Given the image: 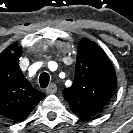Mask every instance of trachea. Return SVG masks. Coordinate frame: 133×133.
I'll list each match as a JSON object with an SVG mask.
<instances>
[{
	"instance_id": "1",
	"label": "trachea",
	"mask_w": 133,
	"mask_h": 133,
	"mask_svg": "<svg viewBox=\"0 0 133 133\" xmlns=\"http://www.w3.org/2000/svg\"><path fill=\"white\" fill-rule=\"evenodd\" d=\"M50 76L48 73H42L39 77V83L41 88H46L49 84Z\"/></svg>"
}]
</instances>
